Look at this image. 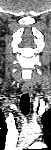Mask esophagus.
I'll return each mask as SVG.
<instances>
[{"mask_svg": "<svg viewBox=\"0 0 51 150\" xmlns=\"http://www.w3.org/2000/svg\"><path fill=\"white\" fill-rule=\"evenodd\" d=\"M22 90L24 93H28L30 96H32L33 87L30 82H25Z\"/></svg>", "mask_w": 51, "mask_h": 150, "instance_id": "esophagus-1", "label": "esophagus"}]
</instances>
